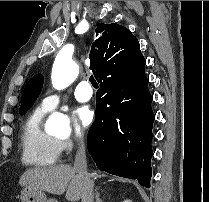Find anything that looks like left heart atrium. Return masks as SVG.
<instances>
[{
	"instance_id": "left-heart-atrium-1",
	"label": "left heart atrium",
	"mask_w": 209,
	"mask_h": 202,
	"mask_svg": "<svg viewBox=\"0 0 209 202\" xmlns=\"http://www.w3.org/2000/svg\"><path fill=\"white\" fill-rule=\"evenodd\" d=\"M95 112L89 107H80L73 118V128L77 136H81L83 131L93 122Z\"/></svg>"
}]
</instances>
